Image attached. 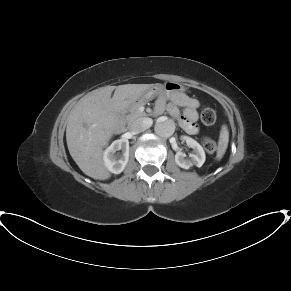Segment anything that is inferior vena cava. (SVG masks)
Segmentation results:
<instances>
[{"label": "inferior vena cava", "mask_w": 291, "mask_h": 291, "mask_svg": "<svg viewBox=\"0 0 291 291\" xmlns=\"http://www.w3.org/2000/svg\"><path fill=\"white\" fill-rule=\"evenodd\" d=\"M151 125H152L151 118L146 117L138 118L131 123L129 130L133 134H138L148 129Z\"/></svg>", "instance_id": "602c4592"}]
</instances>
